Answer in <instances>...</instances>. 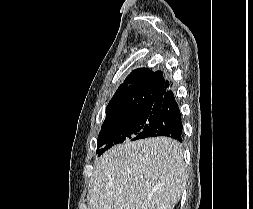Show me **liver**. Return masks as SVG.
Instances as JSON below:
<instances>
[{"label": "liver", "mask_w": 253, "mask_h": 209, "mask_svg": "<svg viewBox=\"0 0 253 209\" xmlns=\"http://www.w3.org/2000/svg\"><path fill=\"white\" fill-rule=\"evenodd\" d=\"M186 180L176 140H127L96 159L88 204L90 209H174Z\"/></svg>", "instance_id": "liver-1"}]
</instances>
